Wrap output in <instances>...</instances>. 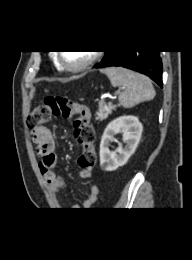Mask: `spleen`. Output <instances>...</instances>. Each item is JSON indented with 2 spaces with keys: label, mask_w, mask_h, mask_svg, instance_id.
<instances>
[{
  "label": "spleen",
  "mask_w": 192,
  "mask_h": 260,
  "mask_svg": "<svg viewBox=\"0 0 192 260\" xmlns=\"http://www.w3.org/2000/svg\"><path fill=\"white\" fill-rule=\"evenodd\" d=\"M109 78L113 87L122 86L119 103L131 108L155 97L154 87L148 77L122 67H109L101 70Z\"/></svg>",
  "instance_id": "3e777b00"
}]
</instances>
